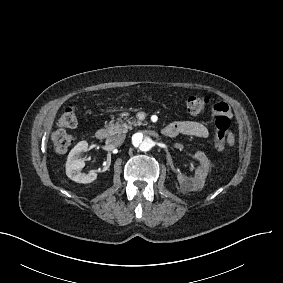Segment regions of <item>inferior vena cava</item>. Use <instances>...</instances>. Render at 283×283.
I'll list each match as a JSON object with an SVG mask.
<instances>
[{"instance_id":"602c4592","label":"inferior vena cava","mask_w":283,"mask_h":283,"mask_svg":"<svg viewBox=\"0 0 283 283\" xmlns=\"http://www.w3.org/2000/svg\"><path fill=\"white\" fill-rule=\"evenodd\" d=\"M124 141V136L122 135H116V136H110L106 139V145L107 146H112V147H117L121 145Z\"/></svg>"}]
</instances>
